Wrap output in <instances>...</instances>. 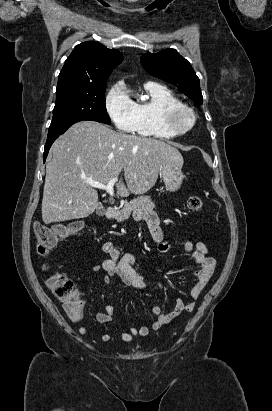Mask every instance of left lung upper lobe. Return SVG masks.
<instances>
[{
	"instance_id": "1",
	"label": "left lung upper lobe",
	"mask_w": 272,
	"mask_h": 411,
	"mask_svg": "<svg viewBox=\"0 0 272 411\" xmlns=\"http://www.w3.org/2000/svg\"><path fill=\"white\" fill-rule=\"evenodd\" d=\"M140 61L149 74L177 86L196 105L203 103L199 78L191 64L175 49L147 53L141 56Z\"/></svg>"
}]
</instances>
